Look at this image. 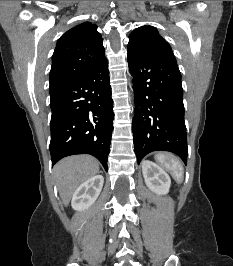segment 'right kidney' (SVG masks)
Segmentation results:
<instances>
[{"label":"right kidney","mask_w":233,"mask_h":266,"mask_svg":"<svg viewBox=\"0 0 233 266\" xmlns=\"http://www.w3.org/2000/svg\"><path fill=\"white\" fill-rule=\"evenodd\" d=\"M104 183L102 175H95L82 183L74 192L71 205L74 210L88 209L98 198Z\"/></svg>","instance_id":"ca27d5eb"}]
</instances>
